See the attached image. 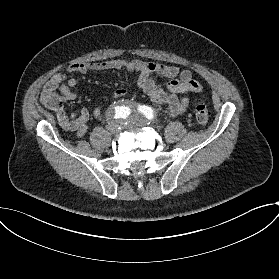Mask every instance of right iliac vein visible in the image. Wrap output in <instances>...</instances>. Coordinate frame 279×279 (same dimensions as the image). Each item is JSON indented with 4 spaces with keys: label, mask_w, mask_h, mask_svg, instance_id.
<instances>
[{
    "label": "right iliac vein",
    "mask_w": 279,
    "mask_h": 279,
    "mask_svg": "<svg viewBox=\"0 0 279 279\" xmlns=\"http://www.w3.org/2000/svg\"><path fill=\"white\" fill-rule=\"evenodd\" d=\"M116 120H111L110 123L108 124V130H110L112 133H115L117 130L116 126Z\"/></svg>",
    "instance_id": "63e3f726"
}]
</instances>
